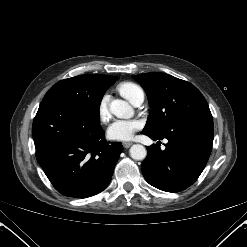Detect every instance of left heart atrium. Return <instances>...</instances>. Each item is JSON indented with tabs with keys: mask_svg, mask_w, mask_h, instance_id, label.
Wrapping results in <instances>:
<instances>
[{
	"mask_svg": "<svg viewBox=\"0 0 247 247\" xmlns=\"http://www.w3.org/2000/svg\"><path fill=\"white\" fill-rule=\"evenodd\" d=\"M141 127L142 122L138 119L116 120L108 127L107 136L115 141H128Z\"/></svg>",
	"mask_w": 247,
	"mask_h": 247,
	"instance_id": "obj_1",
	"label": "left heart atrium"
}]
</instances>
